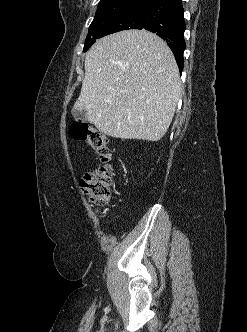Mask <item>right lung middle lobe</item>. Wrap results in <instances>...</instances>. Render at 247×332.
I'll return each instance as SVG.
<instances>
[{"label": "right lung middle lobe", "instance_id": "right-lung-middle-lobe-1", "mask_svg": "<svg viewBox=\"0 0 247 332\" xmlns=\"http://www.w3.org/2000/svg\"><path fill=\"white\" fill-rule=\"evenodd\" d=\"M146 1L148 0H101L89 27L83 52H86L96 39L101 37L110 24Z\"/></svg>", "mask_w": 247, "mask_h": 332}]
</instances>
